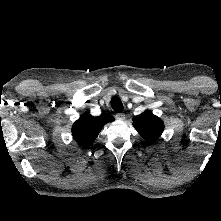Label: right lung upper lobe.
<instances>
[{"label": "right lung upper lobe", "instance_id": "1", "mask_svg": "<svg viewBox=\"0 0 221 221\" xmlns=\"http://www.w3.org/2000/svg\"><path fill=\"white\" fill-rule=\"evenodd\" d=\"M112 121H114V117L111 114L94 117L85 113L73 124V137L79 145L89 147L93 144L103 126Z\"/></svg>", "mask_w": 221, "mask_h": 221}]
</instances>
